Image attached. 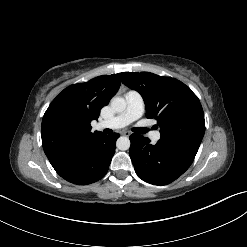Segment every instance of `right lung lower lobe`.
I'll list each match as a JSON object with an SVG mask.
<instances>
[{
  "mask_svg": "<svg viewBox=\"0 0 247 247\" xmlns=\"http://www.w3.org/2000/svg\"><path fill=\"white\" fill-rule=\"evenodd\" d=\"M118 137L117 133L108 136L100 134L83 148L49 161L68 182L77 185L94 183L107 173Z\"/></svg>",
  "mask_w": 247,
  "mask_h": 247,
  "instance_id": "1",
  "label": "right lung lower lobe"
}]
</instances>
